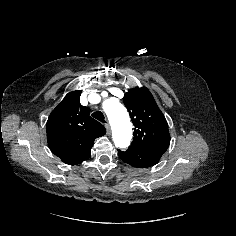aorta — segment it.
<instances>
[{
	"label": "aorta",
	"mask_w": 236,
	"mask_h": 236,
	"mask_svg": "<svg viewBox=\"0 0 236 236\" xmlns=\"http://www.w3.org/2000/svg\"><path fill=\"white\" fill-rule=\"evenodd\" d=\"M112 127V136L117 148H126L132 138V123L125 107L115 99H108L103 105Z\"/></svg>",
	"instance_id": "762f6f07"
}]
</instances>
